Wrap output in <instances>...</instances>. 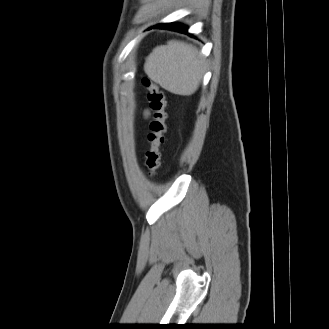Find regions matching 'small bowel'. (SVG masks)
<instances>
[{
    "instance_id": "obj_1",
    "label": "small bowel",
    "mask_w": 329,
    "mask_h": 329,
    "mask_svg": "<svg viewBox=\"0 0 329 329\" xmlns=\"http://www.w3.org/2000/svg\"><path fill=\"white\" fill-rule=\"evenodd\" d=\"M144 117H145V118H149V117H150V111H149V110H146V111L144 112Z\"/></svg>"
}]
</instances>
